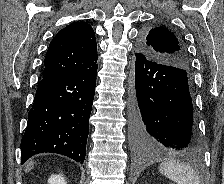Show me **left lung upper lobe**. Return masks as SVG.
Returning a JSON list of instances; mask_svg holds the SVG:
<instances>
[{"mask_svg": "<svg viewBox=\"0 0 224 184\" xmlns=\"http://www.w3.org/2000/svg\"><path fill=\"white\" fill-rule=\"evenodd\" d=\"M139 53L154 62L189 69L188 55L181 39L162 26L145 32L139 43Z\"/></svg>", "mask_w": 224, "mask_h": 184, "instance_id": "1", "label": "left lung upper lobe"}]
</instances>
